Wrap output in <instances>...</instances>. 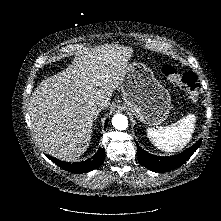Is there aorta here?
I'll return each instance as SVG.
<instances>
[{
  "label": "aorta",
  "mask_w": 221,
  "mask_h": 221,
  "mask_svg": "<svg viewBox=\"0 0 221 221\" xmlns=\"http://www.w3.org/2000/svg\"><path fill=\"white\" fill-rule=\"evenodd\" d=\"M112 125L117 130H125L128 127V119L123 114H116L112 118Z\"/></svg>",
  "instance_id": "762f6f07"
}]
</instances>
